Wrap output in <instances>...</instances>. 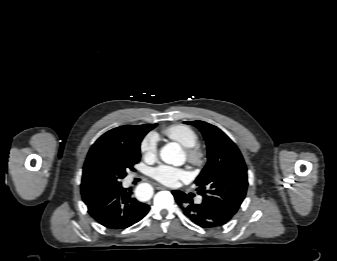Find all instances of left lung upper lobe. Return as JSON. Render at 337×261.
<instances>
[{"instance_id": "obj_1", "label": "left lung upper lobe", "mask_w": 337, "mask_h": 261, "mask_svg": "<svg viewBox=\"0 0 337 261\" xmlns=\"http://www.w3.org/2000/svg\"><path fill=\"white\" fill-rule=\"evenodd\" d=\"M184 123L197 127L207 145L208 162L195 180L198 193L235 215L248 186L247 168L239 149L214 125L203 121Z\"/></svg>"}]
</instances>
